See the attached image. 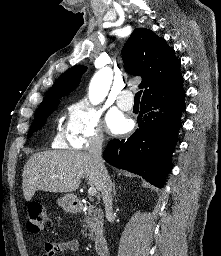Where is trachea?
<instances>
[{"mask_svg": "<svg viewBox=\"0 0 221 256\" xmlns=\"http://www.w3.org/2000/svg\"><path fill=\"white\" fill-rule=\"evenodd\" d=\"M141 94H142V91H138V92L135 94V97H134V102H135V103H139Z\"/></svg>", "mask_w": 221, "mask_h": 256, "instance_id": "3493384b", "label": "trachea"}]
</instances>
